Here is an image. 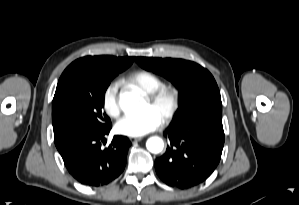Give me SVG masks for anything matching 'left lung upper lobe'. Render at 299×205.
Returning <instances> with one entry per match:
<instances>
[{
	"mask_svg": "<svg viewBox=\"0 0 299 205\" xmlns=\"http://www.w3.org/2000/svg\"><path fill=\"white\" fill-rule=\"evenodd\" d=\"M144 69L160 74L180 91V105L172 123L222 115L221 96L214 77L197 63L182 59L136 57Z\"/></svg>",
	"mask_w": 299,
	"mask_h": 205,
	"instance_id": "left-lung-upper-lobe-1",
	"label": "left lung upper lobe"
}]
</instances>
